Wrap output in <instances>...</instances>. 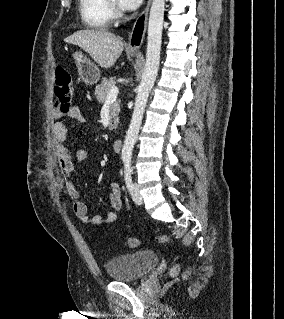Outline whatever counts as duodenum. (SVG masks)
Instances as JSON below:
<instances>
[{
	"label": "duodenum",
	"instance_id": "obj_1",
	"mask_svg": "<svg viewBox=\"0 0 284 319\" xmlns=\"http://www.w3.org/2000/svg\"><path fill=\"white\" fill-rule=\"evenodd\" d=\"M123 147V141L121 139H116L114 142H113V149L117 152L121 151Z\"/></svg>",
	"mask_w": 284,
	"mask_h": 319
}]
</instances>
